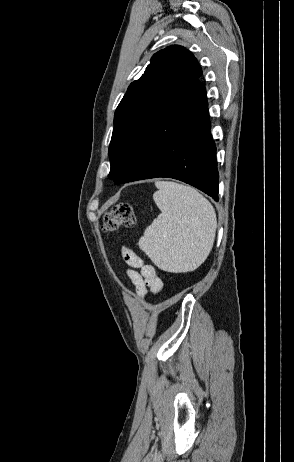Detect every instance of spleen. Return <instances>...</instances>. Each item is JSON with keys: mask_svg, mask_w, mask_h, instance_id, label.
<instances>
[{"mask_svg": "<svg viewBox=\"0 0 294 462\" xmlns=\"http://www.w3.org/2000/svg\"><path fill=\"white\" fill-rule=\"evenodd\" d=\"M161 214L139 239V247L160 269L181 273L198 268L214 243L217 219L211 203L192 187L155 182Z\"/></svg>", "mask_w": 294, "mask_h": 462, "instance_id": "obj_1", "label": "spleen"}]
</instances>
